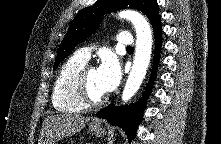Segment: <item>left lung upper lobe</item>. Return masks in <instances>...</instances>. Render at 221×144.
<instances>
[{
	"instance_id": "left-lung-upper-lobe-1",
	"label": "left lung upper lobe",
	"mask_w": 221,
	"mask_h": 144,
	"mask_svg": "<svg viewBox=\"0 0 221 144\" xmlns=\"http://www.w3.org/2000/svg\"><path fill=\"white\" fill-rule=\"evenodd\" d=\"M125 8L140 10L152 25L160 18L156 0H98L92 6L81 9L71 22L58 48L53 68L55 69L77 44L87 39L98 28L104 14Z\"/></svg>"
}]
</instances>
